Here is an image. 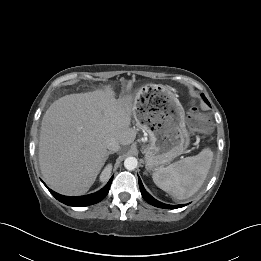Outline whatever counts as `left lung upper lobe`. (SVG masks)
Wrapping results in <instances>:
<instances>
[{
    "label": "left lung upper lobe",
    "mask_w": 261,
    "mask_h": 261,
    "mask_svg": "<svg viewBox=\"0 0 261 261\" xmlns=\"http://www.w3.org/2000/svg\"><path fill=\"white\" fill-rule=\"evenodd\" d=\"M203 96V98H204V101L207 103V104H209V102H208V100L206 99V97H204V95H202Z\"/></svg>",
    "instance_id": "left-lung-upper-lobe-1"
}]
</instances>
